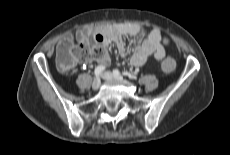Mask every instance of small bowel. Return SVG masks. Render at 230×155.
<instances>
[{"instance_id":"c3829d8e","label":"small bowel","mask_w":230,"mask_h":155,"mask_svg":"<svg viewBox=\"0 0 230 155\" xmlns=\"http://www.w3.org/2000/svg\"><path fill=\"white\" fill-rule=\"evenodd\" d=\"M145 29L138 24H116L103 25L94 28H86L79 30L75 38L82 44L101 45L104 48V54L101 58L96 59V63L101 66L110 63V56L106 50L109 44L115 43L121 55L126 54L123 38L125 36H144ZM71 38H64L62 41L70 42ZM168 40L162 37L159 29H152L148 36L141 40L136 46L132 56L131 63L134 66H142L146 63L150 56L157 60H161L166 55L165 46Z\"/></svg>"}]
</instances>
